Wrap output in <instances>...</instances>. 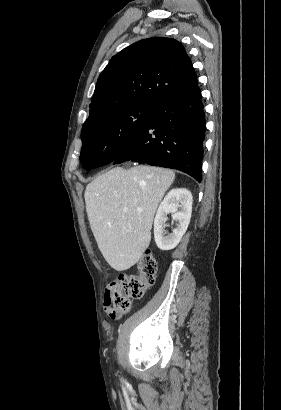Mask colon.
Here are the masks:
<instances>
[{
  "instance_id": "obj_1",
  "label": "colon",
  "mask_w": 281,
  "mask_h": 410,
  "mask_svg": "<svg viewBox=\"0 0 281 410\" xmlns=\"http://www.w3.org/2000/svg\"><path fill=\"white\" fill-rule=\"evenodd\" d=\"M157 262L150 250H146L139 263L138 275L119 274L110 283L108 294L113 305L111 318L126 313L131 308V301L141 299L145 291L155 283Z\"/></svg>"
}]
</instances>
